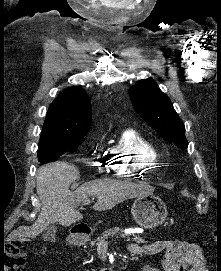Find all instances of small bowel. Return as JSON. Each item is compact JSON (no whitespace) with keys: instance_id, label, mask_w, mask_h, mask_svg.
<instances>
[{"instance_id":"c3829d8e","label":"small bowel","mask_w":221,"mask_h":271,"mask_svg":"<svg viewBox=\"0 0 221 271\" xmlns=\"http://www.w3.org/2000/svg\"><path fill=\"white\" fill-rule=\"evenodd\" d=\"M127 249L135 256L156 255L163 252L164 271H208L201 247L187 241L162 239L145 245L130 243ZM143 271L159 270L152 266H145Z\"/></svg>"}]
</instances>
